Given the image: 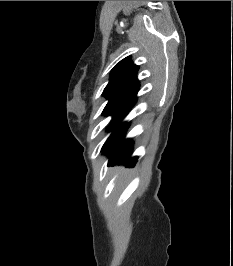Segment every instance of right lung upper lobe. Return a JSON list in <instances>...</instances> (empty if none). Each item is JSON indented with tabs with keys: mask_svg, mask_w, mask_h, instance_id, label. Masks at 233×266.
<instances>
[{
	"mask_svg": "<svg viewBox=\"0 0 233 266\" xmlns=\"http://www.w3.org/2000/svg\"><path fill=\"white\" fill-rule=\"evenodd\" d=\"M138 66L135 65L130 57L120 61L113 69L110 81L103 94L106 97L121 94H136L139 89L137 80Z\"/></svg>",
	"mask_w": 233,
	"mask_h": 266,
	"instance_id": "cb5924a9",
	"label": "right lung upper lobe"
}]
</instances>
